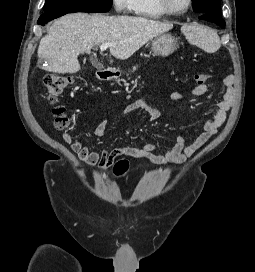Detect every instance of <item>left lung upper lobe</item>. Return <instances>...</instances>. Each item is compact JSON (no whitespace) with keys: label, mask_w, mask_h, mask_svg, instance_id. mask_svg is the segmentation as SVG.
Returning <instances> with one entry per match:
<instances>
[{"label":"left lung upper lobe","mask_w":255,"mask_h":272,"mask_svg":"<svg viewBox=\"0 0 255 272\" xmlns=\"http://www.w3.org/2000/svg\"><path fill=\"white\" fill-rule=\"evenodd\" d=\"M192 2L195 12L221 15V0H192Z\"/></svg>","instance_id":"obj_1"}]
</instances>
